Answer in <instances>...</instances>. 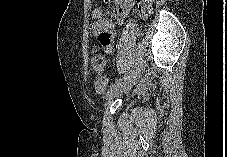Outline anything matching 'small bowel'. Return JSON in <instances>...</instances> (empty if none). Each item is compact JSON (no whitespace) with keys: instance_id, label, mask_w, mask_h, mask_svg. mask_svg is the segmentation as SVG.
Listing matches in <instances>:
<instances>
[{"instance_id":"small-bowel-1","label":"small bowel","mask_w":227,"mask_h":157,"mask_svg":"<svg viewBox=\"0 0 227 157\" xmlns=\"http://www.w3.org/2000/svg\"><path fill=\"white\" fill-rule=\"evenodd\" d=\"M109 1V0H106ZM116 2L117 23L122 24L125 17L129 14L135 0H114ZM92 33L98 37L100 43L112 51V44L116 39L114 24L106 17L105 10L97 7L92 11Z\"/></svg>"}]
</instances>
